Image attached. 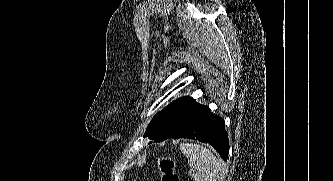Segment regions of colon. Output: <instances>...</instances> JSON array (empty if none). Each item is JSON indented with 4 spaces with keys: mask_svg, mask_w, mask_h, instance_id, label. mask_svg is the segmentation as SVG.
Returning a JSON list of instances; mask_svg holds the SVG:
<instances>
[{
    "mask_svg": "<svg viewBox=\"0 0 333 181\" xmlns=\"http://www.w3.org/2000/svg\"><path fill=\"white\" fill-rule=\"evenodd\" d=\"M157 165L160 172V181H179L178 175L175 171V163L171 157H159Z\"/></svg>",
    "mask_w": 333,
    "mask_h": 181,
    "instance_id": "5ec220e1",
    "label": "colon"
}]
</instances>
